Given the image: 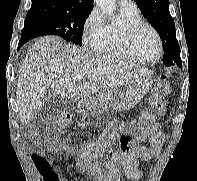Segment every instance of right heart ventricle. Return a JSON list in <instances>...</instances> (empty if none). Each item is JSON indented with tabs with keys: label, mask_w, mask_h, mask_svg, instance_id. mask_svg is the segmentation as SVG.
<instances>
[{
	"label": "right heart ventricle",
	"mask_w": 197,
	"mask_h": 181,
	"mask_svg": "<svg viewBox=\"0 0 197 181\" xmlns=\"http://www.w3.org/2000/svg\"><path fill=\"white\" fill-rule=\"evenodd\" d=\"M142 21L137 7L119 9L118 18L105 24L104 30L92 47L101 56L115 59L134 60L124 44L126 29L137 22Z\"/></svg>",
	"instance_id": "obj_1"
}]
</instances>
